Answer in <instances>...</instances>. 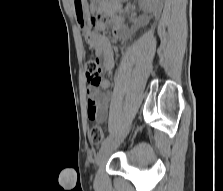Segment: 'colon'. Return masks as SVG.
Listing matches in <instances>:
<instances>
[{
  "instance_id": "obj_1",
  "label": "colon",
  "mask_w": 223,
  "mask_h": 191,
  "mask_svg": "<svg viewBox=\"0 0 223 191\" xmlns=\"http://www.w3.org/2000/svg\"><path fill=\"white\" fill-rule=\"evenodd\" d=\"M86 79L90 85L98 86L102 82L98 59H88L85 62ZM89 139L92 146L97 147L104 139L102 127L95 125L90 129Z\"/></svg>"
}]
</instances>
